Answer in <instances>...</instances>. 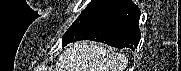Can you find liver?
<instances>
[{
    "label": "liver",
    "mask_w": 181,
    "mask_h": 71,
    "mask_svg": "<svg viewBox=\"0 0 181 71\" xmlns=\"http://www.w3.org/2000/svg\"><path fill=\"white\" fill-rule=\"evenodd\" d=\"M127 59L121 53L94 42L70 44L56 62L55 71H124Z\"/></svg>",
    "instance_id": "liver-1"
}]
</instances>
